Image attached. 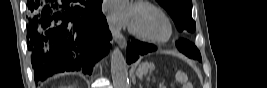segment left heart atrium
Masks as SVG:
<instances>
[{"label": "left heart atrium", "mask_w": 267, "mask_h": 88, "mask_svg": "<svg viewBox=\"0 0 267 88\" xmlns=\"http://www.w3.org/2000/svg\"><path fill=\"white\" fill-rule=\"evenodd\" d=\"M105 11L111 22L119 26L131 24L133 8L128 1L112 0L105 5Z\"/></svg>", "instance_id": "1"}]
</instances>
